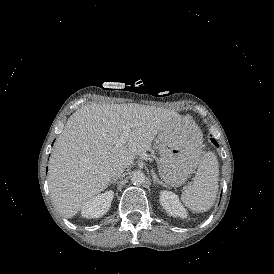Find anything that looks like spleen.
Returning a JSON list of instances; mask_svg holds the SVG:
<instances>
[{
    "mask_svg": "<svg viewBox=\"0 0 274 274\" xmlns=\"http://www.w3.org/2000/svg\"><path fill=\"white\" fill-rule=\"evenodd\" d=\"M200 133V131H199ZM201 140V133L199 134ZM199 145V149H200ZM194 155L198 167L193 183L182 193V203L191 211L202 212L211 208L218 192V162L212 153L201 156V150Z\"/></svg>",
    "mask_w": 274,
    "mask_h": 274,
    "instance_id": "obj_1",
    "label": "spleen"
}]
</instances>
